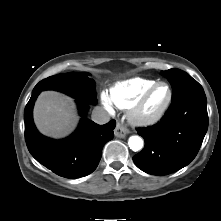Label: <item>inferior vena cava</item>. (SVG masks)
I'll use <instances>...</instances> for the list:
<instances>
[{
  "label": "inferior vena cava",
  "mask_w": 221,
  "mask_h": 221,
  "mask_svg": "<svg viewBox=\"0 0 221 221\" xmlns=\"http://www.w3.org/2000/svg\"><path fill=\"white\" fill-rule=\"evenodd\" d=\"M91 119L97 124H105L109 122L110 115L103 108L97 107L92 111Z\"/></svg>",
  "instance_id": "602c4592"
}]
</instances>
